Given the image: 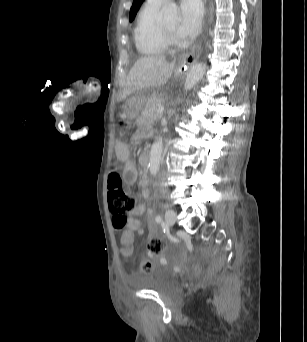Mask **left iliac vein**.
<instances>
[{"label": "left iliac vein", "instance_id": "obj_1", "mask_svg": "<svg viewBox=\"0 0 307 342\" xmlns=\"http://www.w3.org/2000/svg\"><path fill=\"white\" fill-rule=\"evenodd\" d=\"M165 221L167 225L173 226L176 222V213L172 210H167L165 212Z\"/></svg>", "mask_w": 307, "mask_h": 342}]
</instances>
